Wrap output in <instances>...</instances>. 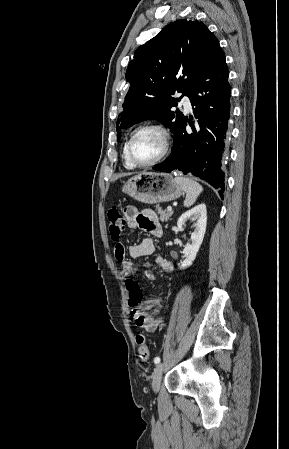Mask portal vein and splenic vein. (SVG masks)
<instances>
[{
  "instance_id": "1",
  "label": "portal vein and splenic vein",
  "mask_w": 289,
  "mask_h": 449,
  "mask_svg": "<svg viewBox=\"0 0 289 449\" xmlns=\"http://www.w3.org/2000/svg\"><path fill=\"white\" fill-rule=\"evenodd\" d=\"M167 210H168L169 212H171V211H172V207H171V206H168V207H167Z\"/></svg>"
}]
</instances>
